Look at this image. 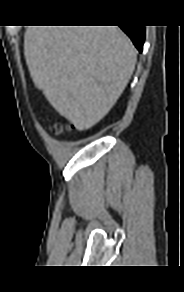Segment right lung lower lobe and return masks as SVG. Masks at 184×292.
Segmentation results:
<instances>
[{
  "label": "right lung lower lobe",
  "mask_w": 184,
  "mask_h": 292,
  "mask_svg": "<svg viewBox=\"0 0 184 292\" xmlns=\"http://www.w3.org/2000/svg\"><path fill=\"white\" fill-rule=\"evenodd\" d=\"M121 29L131 38L135 47L142 52L144 39H145V28L144 26H120Z\"/></svg>",
  "instance_id": "right-lung-lower-lobe-1"
}]
</instances>
